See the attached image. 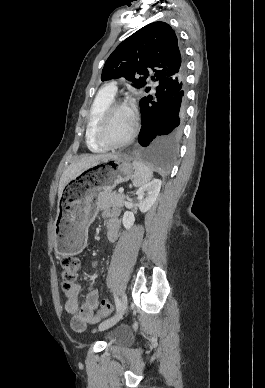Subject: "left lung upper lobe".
Masks as SVG:
<instances>
[{
    "label": "left lung upper lobe",
    "instance_id": "1",
    "mask_svg": "<svg viewBox=\"0 0 265 388\" xmlns=\"http://www.w3.org/2000/svg\"><path fill=\"white\" fill-rule=\"evenodd\" d=\"M151 70L154 75L150 80L159 83L185 71L177 36L165 22L150 23L121 42L105 62L101 80L125 77L139 88L147 84ZM145 91L149 92L150 87Z\"/></svg>",
    "mask_w": 265,
    "mask_h": 388
}]
</instances>
